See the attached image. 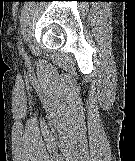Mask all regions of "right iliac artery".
Instances as JSON below:
<instances>
[{
    "label": "right iliac artery",
    "instance_id": "obj_1",
    "mask_svg": "<svg viewBox=\"0 0 135 161\" xmlns=\"http://www.w3.org/2000/svg\"><path fill=\"white\" fill-rule=\"evenodd\" d=\"M20 52H21V54H22L23 57H26V54L24 53V50H23L22 47H20Z\"/></svg>",
    "mask_w": 135,
    "mask_h": 161
}]
</instances>
